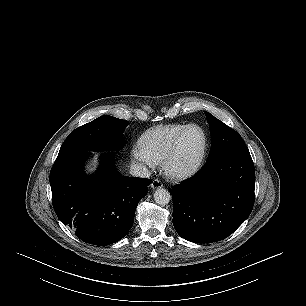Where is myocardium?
Instances as JSON below:
<instances>
[{
  "instance_id": "1",
  "label": "myocardium",
  "mask_w": 306,
  "mask_h": 306,
  "mask_svg": "<svg viewBox=\"0 0 306 306\" xmlns=\"http://www.w3.org/2000/svg\"><path fill=\"white\" fill-rule=\"evenodd\" d=\"M191 129L199 130L203 135V148L199 157L191 164L182 166L179 164L182 141ZM209 147L208 135L203 127L198 124H189L176 137L172 149L165 158L163 168L167 176L172 179H186L196 174L204 163Z\"/></svg>"
}]
</instances>
